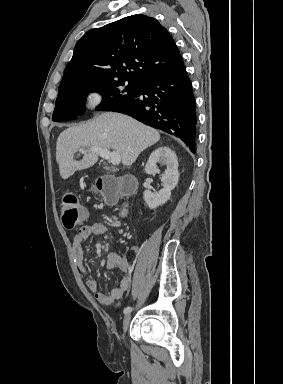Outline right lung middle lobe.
<instances>
[{"mask_svg":"<svg viewBox=\"0 0 283 384\" xmlns=\"http://www.w3.org/2000/svg\"><path fill=\"white\" fill-rule=\"evenodd\" d=\"M139 83L125 79L108 80L98 83L73 84L59 87L56 99L53 121H66L82 115L85 110L84 102L91 91L99 92L103 100L98 110H108L125 100L135 98Z\"/></svg>","mask_w":283,"mask_h":384,"instance_id":"1","label":"right lung middle lobe"}]
</instances>
